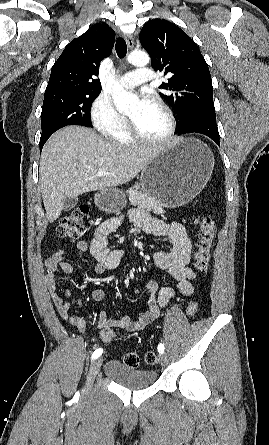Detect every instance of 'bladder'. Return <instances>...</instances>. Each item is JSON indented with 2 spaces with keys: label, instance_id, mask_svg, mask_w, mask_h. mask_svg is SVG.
Segmentation results:
<instances>
[{
  "label": "bladder",
  "instance_id": "bladder-1",
  "mask_svg": "<svg viewBox=\"0 0 269 445\" xmlns=\"http://www.w3.org/2000/svg\"><path fill=\"white\" fill-rule=\"evenodd\" d=\"M104 373L118 385L141 390L152 386L157 380V372L153 369H133L118 360H110L104 366Z\"/></svg>",
  "mask_w": 269,
  "mask_h": 445
}]
</instances>
